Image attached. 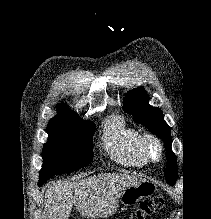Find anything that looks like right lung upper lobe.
<instances>
[{"instance_id": "1", "label": "right lung upper lobe", "mask_w": 211, "mask_h": 219, "mask_svg": "<svg viewBox=\"0 0 211 219\" xmlns=\"http://www.w3.org/2000/svg\"><path fill=\"white\" fill-rule=\"evenodd\" d=\"M66 118H78L76 113L64 107V105H59L58 114L52 119H66Z\"/></svg>"}]
</instances>
